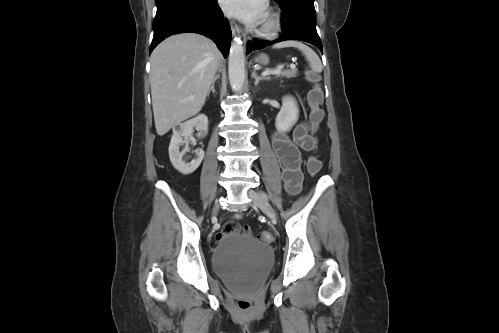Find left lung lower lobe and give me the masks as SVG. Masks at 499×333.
I'll return each instance as SVG.
<instances>
[{
  "label": "left lung lower lobe",
  "mask_w": 499,
  "mask_h": 333,
  "mask_svg": "<svg viewBox=\"0 0 499 333\" xmlns=\"http://www.w3.org/2000/svg\"><path fill=\"white\" fill-rule=\"evenodd\" d=\"M278 4L282 9L281 37L272 42L253 40L248 44L247 51L259 50L285 40H301L316 46L322 52V43L316 31L314 0H286Z\"/></svg>",
  "instance_id": "obj_1"
}]
</instances>
